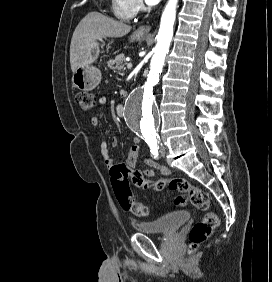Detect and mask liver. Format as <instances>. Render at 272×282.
<instances>
[{"label":"liver","instance_id":"6515ba94","mask_svg":"<svg viewBox=\"0 0 272 282\" xmlns=\"http://www.w3.org/2000/svg\"><path fill=\"white\" fill-rule=\"evenodd\" d=\"M131 26L98 12L88 13L77 25L70 45V64L74 72L91 45L106 37H122Z\"/></svg>","mask_w":272,"mask_h":282}]
</instances>
